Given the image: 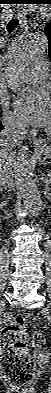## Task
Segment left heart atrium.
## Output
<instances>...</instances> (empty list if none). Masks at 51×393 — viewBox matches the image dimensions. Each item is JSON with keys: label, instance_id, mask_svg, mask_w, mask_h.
I'll list each match as a JSON object with an SVG mask.
<instances>
[{"label": "left heart atrium", "instance_id": "39dd6f15", "mask_svg": "<svg viewBox=\"0 0 51 393\" xmlns=\"http://www.w3.org/2000/svg\"><path fill=\"white\" fill-rule=\"evenodd\" d=\"M17 113L26 122L40 127L50 124L51 104L44 91H37L25 98L16 100Z\"/></svg>", "mask_w": 51, "mask_h": 393}]
</instances>
